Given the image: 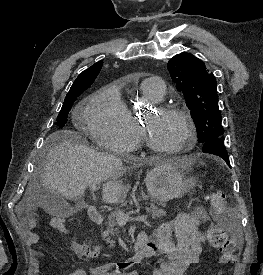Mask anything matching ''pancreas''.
I'll return each mask as SVG.
<instances>
[{
    "label": "pancreas",
    "mask_w": 263,
    "mask_h": 275,
    "mask_svg": "<svg viewBox=\"0 0 263 275\" xmlns=\"http://www.w3.org/2000/svg\"><path fill=\"white\" fill-rule=\"evenodd\" d=\"M148 199H150L151 204H150V210L149 213L152 214V218L153 219H158L161 218L163 216H165L166 212L163 209H159L155 203V199H153L152 197H149ZM119 212H123L122 210L119 211H115L113 213H111L108 216V222H107V228L106 230L102 233V237L103 239L110 244V246H114V241L110 239V235H118L119 234V229L117 227V220H116V215Z\"/></svg>",
    "instance_id": "cf45deb5"
}]
</instances>
